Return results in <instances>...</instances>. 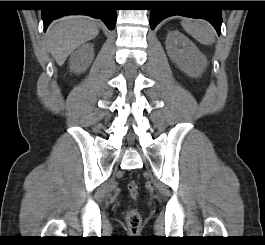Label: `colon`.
Listing matches in <instances>:
<instances>
[{
    "label": "colon",
    "instance_id": "obj_1",
    "mask_svg": "<svg viewBox=\"0 0 265 245\" xmlns=\"http://www.w3.org/2000/svg\"><path fill=\"white\" fill-rule=\"evenodd\" d=\"M128 191L131 198L136 200L139 195V185L135 181H131L128 184ZM126 218L131 234L133 236H137L139 234V227L142 222L140 212L136 208H131L128 210Z\"/></svg>",
    "mask_w": 265,
    "mask_h": 245
}]
</instances>
